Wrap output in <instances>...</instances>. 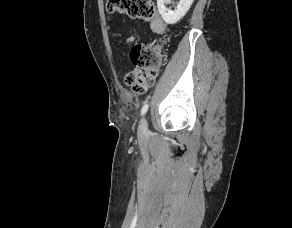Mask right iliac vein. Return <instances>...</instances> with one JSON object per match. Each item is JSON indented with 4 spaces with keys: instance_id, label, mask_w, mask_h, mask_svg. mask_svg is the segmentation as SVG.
<instances>
[{
    "instance_id": "1",
    "label": "right iliac vein",
    "mask_w": 292,
    "mask_h": 228,
    "mask_svg": "<svg viewBox=\"0 0 292 228\" xmlns=\"http://www.w3.org/2000/svg\"><path fill=\"white\" fill-rule=\"evenodd\" d=\"M139 135L140 136H145L147 133V121L145 118H142L139 124V129H138Z\"/></svg>"
}]
</instances>
